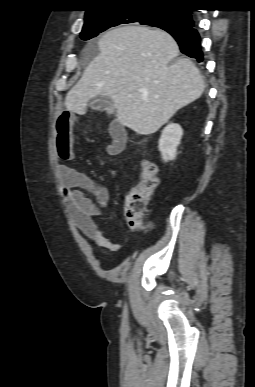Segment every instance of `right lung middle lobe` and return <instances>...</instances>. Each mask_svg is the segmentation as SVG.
<instances>
[{
  "instance_id": "obj_1",
  "label": "right lung middle lobe",
  "mask_w": 255,
  "mask_h": 387,
  "mask_svg": "<svg viewBox=\"0 0 255 387\" xmlns=\"http://www.w3.org/2000/svg\"><path fill=\"white\" fill-rule=\"evenodd\" d=\"M134 22L162 28L163 26H185L187 19L181 9L158 7L113 8L86 16L80 36L82 40H89L110 27Z\"/></svg>"
}]
</instances>
